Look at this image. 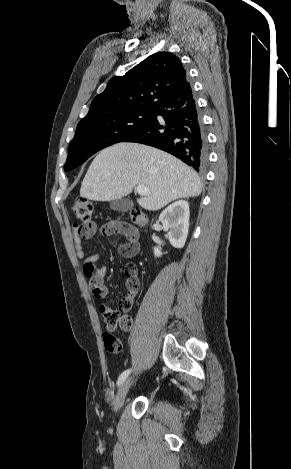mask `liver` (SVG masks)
I'll return each instance as SVG.
<instances>
[{"mask_svg":"<svg viewBox=\"0 0 291 469\" xmlns=\"http://www.w3.org/2000/svg\"><path fill=\"white\" fill-rule=\"evenodd\" d=\"M138 185L150 193L137 199L150 211L201 194L197 173L174 156L137 143H118L99 152L81 185L80 196L94 201L121 199Z\"/></svg>","mask_w":291,"mask_h":469,"instance_id":"obj_1","label":"liver"}]
</instances>
